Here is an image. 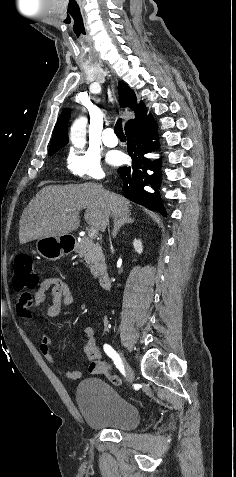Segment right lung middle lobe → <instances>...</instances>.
I'll return each instance as SVG.
<instances>
[{"label":"right lung middle lobe","instance_id":"dd1d6c3e","mask_svg":"<svg viewBox=\"0 0 236 477\" xmlns=\"http://www.w3.org/2000/svg\"><path fill=\"white\" fill-rule=\"evenodd\" d=\"M60 148H62V147L49 150V156L53 155V154H54L55 152H57Z\"/></svg>","mask_w":236,"mask_h":477}]
</instances>
